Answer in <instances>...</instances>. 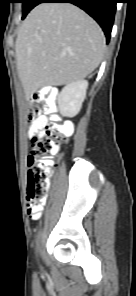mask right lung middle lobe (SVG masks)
I'll use <instances>...</instances> for the list:
<instances>
[{
    "instance_id": "right-lung-middle-lobe-1",
    "label": "right lung middle lobe",
    "mask_w": 136,
    "mask_h": 296,
    "mask_svg": "<svg viewBox=\"0 0 136 296\" xmlns=\"http://www.w3.org/2000/svg\"><path fill=\"white\" fill-rule=\"evenodd\" d=\"M40 0H21V2L23 3V16L22 19H24L26 17V15L28 14V12L34 8L36 5L39 4Z\"/></svg>"
}]
</instances>
